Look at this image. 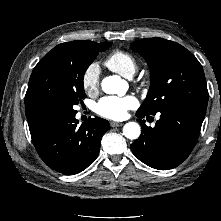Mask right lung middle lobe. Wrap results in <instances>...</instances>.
Instances as JSON below:
<instances>
[{
	"label": "right lung middle lobe",
	"mask_w": 221,
	"mask_h": 221,
	"mask_svg": "<svg viewBox=\"0 0 221 221\" xmlns=\"http://www.w3.org/2000/svg\"><path fill=\"white\" fill-rule=\"evenodd\" d=\"M111 44L86 41L41 60L35 67L38 78L35 91L37 104H53L74 110L73 106L82 103L86 97L83 87L85 71L98 53L108 49Z\"/></svg>",
	"instance_id": "right-lung-middle-lobe-1"
}]
</instances>
